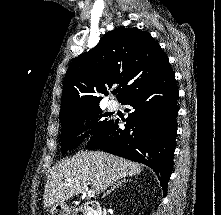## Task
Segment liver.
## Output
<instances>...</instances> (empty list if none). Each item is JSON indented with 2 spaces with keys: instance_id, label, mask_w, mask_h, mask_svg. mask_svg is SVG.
<instances>
[{
  "instance_id": "liver-1",
  "label": "liver",
  "mask_w": 221,
  "mask_h": 215,
  "mask_svg": "<svg viewBox=\"0 0 221 215\" xmlns=\"http://www.w3.org/2000/svg\"><path fill=\"white\" fill-rule=\"evenodd\" d=\"M142 166L100 151H81L57 164L48 176L44 207L64 203L85 190L88 184L100 194L116 181L141 174Z\"/></svg>"
}]
</instances>
